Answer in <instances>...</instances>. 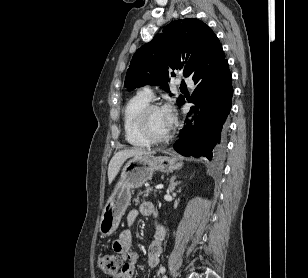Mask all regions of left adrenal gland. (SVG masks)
Listing matches in <instances>:
<instances>
[{"label":"left adrenal gland","instance_id":"1","mask_svg":"<svg viewBox=\"0 0 308 278\" xmlns=\"http://www.w3.org/2000/svg\"><path fill=\"white\" fill-rule=\"evenodd\" d=\"M176 179V176H173L171 179H170V183H169V186H168V193H172L174 190H175V187L180 184L181 182H174Z\"/></svg>","mask_w":308,"mask_h":278}]
</instances>
